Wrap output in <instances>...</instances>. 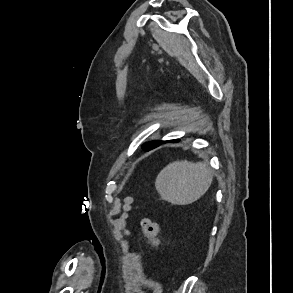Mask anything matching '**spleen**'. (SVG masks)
<instances>
[{
    "label": "spleen",
    "instance_id": "3e777b00",
    "mask_svg": "<svg viewBox=\"0 0 293 293\" xmlns=\"http://www.w3.org/2000/svg\"><path fill=\"white\" fill-rule=\"evenodd\" d=\"M212 181L213 174L206 163L178 160L161 170L155 187L163 200L188 205L203 196Z\"/></svg>",
    "mask_w": 293,
    "mask_h": 293
}]
</instances>
